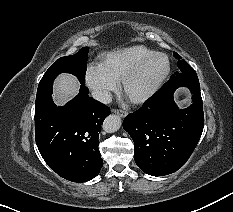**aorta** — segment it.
Returning <instances> with one entry per match:
<instances>
[{"instance_id": "obj_1", "label": "aorta", "mask_w": 233, "mask_h": 212, "mask_svg": "<svg viewBox=\"0 0 233 212\" xmlns=\"http://www.w3.org/2000/svg\"><path fill=\"white\" fill-rule=\"evenodd\" d=\"M122 125V120L117 115H109L103 122L102 128L107 133L116 132Z\"/></svg>"}]
</instances>
